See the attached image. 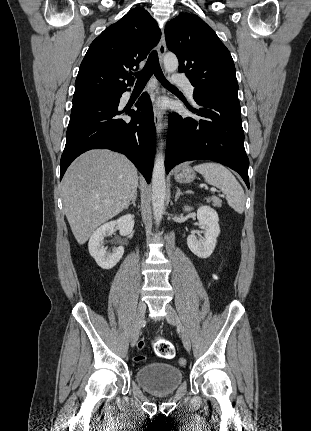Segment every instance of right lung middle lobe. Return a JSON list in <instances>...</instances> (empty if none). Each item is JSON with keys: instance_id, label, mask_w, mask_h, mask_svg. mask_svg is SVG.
<instances>
[{"instance_id": "right-lung-middle-lobe-1", "label": "right lung middle lobe", "mask_w": 311, "mask_h": 431, "mask_svg": "<svg viewBox=\"0 0 311 431\" xmlns=\"http://www.w3.org/2000/svg\"><path fill=\"white\" fill-rule=\"evenodd\" d=\"M121 93H96V94H86V95H77L73 97V104L87 101V100H96V99H119Z\"/></svg>"}]
</instances>
